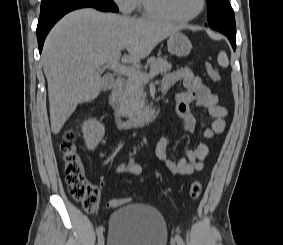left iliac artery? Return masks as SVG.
<instances>
[{"label":"left iliac artery","instance_id":"44dca946","mask_svg":"<svg viewBox=\"0 0 283 245\" xmlns=\"http://www.w3.org/2000/svg\"><path fill=\"white\" fill-rule=\"evenodd\" d=\"M175 240L177 242L178 245H185L183 239L181 238L180 235H176L175 236Z\"/></svg>","mask_w":283,"mask_h":245}]
</instances>
